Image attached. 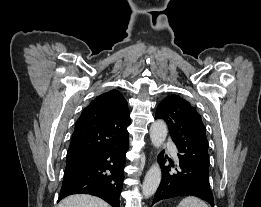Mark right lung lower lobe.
Instances as JSON below:
<instances>
[{
	"label": "right lung lower lobe",
	"mask_w": 261,
	"mask_h": 207,
	"mask_svg": "<svg viewBox=\"0 0 261 207\" xmlns=\"http://www.w3.org/2000/svg\"><path fill=\"white\" fill-rule=\"evenodd\" d=\"M129 143L66 163L58 201L77 193L98 196L112 207L120 206L125 154Z\"/></svg>",
	"instance_id": "1"
}]
</instances>
